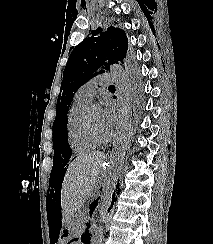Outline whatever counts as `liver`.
Here are the masks:
<instances>
[{
	"label": "liver",
	"mask_w": 213,
	"mask_h": 244,
	"mask_svg": "<svg viewBox=\"0 0 213 244\" xmlns=\"http://www.w3.org/2000/svg\"><path fill=\"white\" fill-rule=\"evenodd\" d=\"M104 159L101 152L79 155L67 168L61 186L62 222L69 221L92 193Z\"/></svg>",
	"instance_id": "6515ba94"
}]
</instances>
